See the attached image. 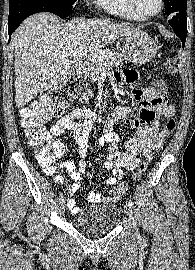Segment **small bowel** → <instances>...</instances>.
Here are the masks:
<instances>
[{"label":"small bowel","instance_id":"c3829d8e","mask_svg":"<svg viewBox=\"0 0 195 270\" xmlns=\"http://www.w3.org/2000/svg\"><path fill=\"white\" fill-rule=\"evenodd\" d=\"M115 79L122 85H133L137 82L138 74L132 69H127L115 74ZM131 97L136 101L140 109L132 113L128 108L117 107L108 118L104 133L99 138V145L110 144V153L105 162V168L111 171V176L100 180L107 186L112 187L108 196L91 191L87 196L89 203L117 202L120 195L116 193V182L123 176V170H133L142 161L139 158L143 154L150 161L155 150L161 148L163 143L158 142L160 134V117L170 118L174 115V107L167 103V98L159 99L155 89L151 87L135 86ZM96 114L88 108H76L59 119L51 128L49 134L53 137H61L65 132L78 144L80 160L77 163L64 161L61 167L68 171L73 183L68 187L70 194L75 193L82 182L83 174L87 170L85 157L88 151V136L93 128ZM117 120H122L134 133L125 144V150H121L118 135L113 130ZM67 206L72 214H77L80 208L73 198H69Z\"/></svg>","mask_w":195,"mask_h":270}]
</instances>
